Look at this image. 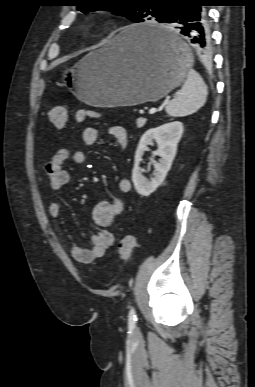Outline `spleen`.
I'll return each instance as SVG.
<instances>
[{
  "label": "spleen",
  "instance_id": "obj_1",
  "mask_svg": "<svg viewBox=\"0 0 255 387\" xmlns=\"http://www.w3.org/2000/svg\"><path fill=\"white\" fill-rule=\"evenodd\" d=\"M207 95V86L201 76L194 69H189L181 90L167 103L166 113L172 117L191 115L204 106Z\"/></svg>",
  "mask_w": 255,
  "mask_h": 387
}]
</instances>
